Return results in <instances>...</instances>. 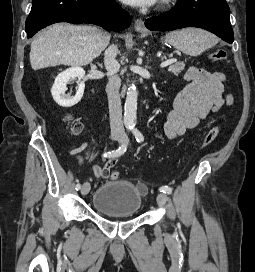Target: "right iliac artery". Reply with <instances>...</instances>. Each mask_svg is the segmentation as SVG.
Instances as JSON below:
<instances>
[{
    "label": "right iliac artery",
    "instance_id": "right-iliac-artery-1",
    "mask_svg": "<svg viewBox=\"0 0 255 272\" xmlns=\"http://www.w3.org/2000/svg\"><path fill=\"white\" fill-rule=\"evenodd\" d=\"M127 150V145L126 143L122 144L118 149L116 150H112V151H109L105 154H103L104 157H112V158H116V157H119L121 155H123ZM81 188V185L78 183L76 185V190H79Z\"/></svg>",
    "mask_w": 255,
    "mask_h": 272
}]
</instances>
